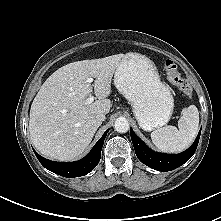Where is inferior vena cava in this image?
<instances>
[{
    "label": "inferior vena cava",
    "mask_w": 221,
    "mask_h": 221,
    "mask_svg": "<svg viewBox=\"0 0 221 221\" xmlns=\"http://www.w3.org/2000/svg\"><path fill=\"white\" fill-rule=\"evenodd\" d=\"M106 119V117H105V115L104 114H100V115H97L96 116V120L98 121V122H102V121H104Z\"/></svg>",
    "instance_id": "obj_1"
}]
</instances>
